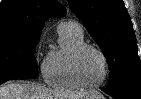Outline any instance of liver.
<instances>
[{
  "label": "liver",
  "instance_id": "obj_1",
  "mask_svg": "<svg viewBox=\"0 0 141 99\" xmlns=\"http://www.w3.org/2000/svg\"><path fill=\"white\" fill-rule=\"evenodd\" d=\"M97 95L96 91L59 92L29 82H8L0 87V99H88Z\"/></svg>",
  "mask_w": 141,
  "mask_h": 99
}]
</instances>
